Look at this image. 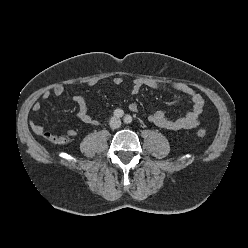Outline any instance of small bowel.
Instances as JSON below:
<instances>
[{
  "label": "small bowel",
  "mask_w": 248,
  "mask_h": 248,
  "mask_svg": "<svg viewBox=\"0 0 248 248\" xmlns=\"http://www.w3.org/2000/svg\"><path fill=\"white\" fill-rule=\"evenodd\" d=\"M113 82L115 85H121L124 82V79L123 77L118 76L114 78ZM95 84L96 81H90L88 83L89 86H94ZM145 87L150 89H160L162 87V84L153 79L136 78L132 81L131 94L137 95ZM168 87L176 92L183 93L189 96L192 102L191 110L185 116L177 119H170L165 115L163 111L158 110L150 114L148 116V120L160 128L172 130V131L193 129L197 127L200 124V116L202 114L204 107V99L202 95L191 86L181 82H171L168 84ZM64 91L65 88L63 85H56L52 90L45 91L42 94L41 98L43 100H47L51 96L60 97L64 93ZM73 100L78 106L76 117L81 122L86 124H91L94 126L99 125V120L94 118L90 114L86 101L83 96L76 95L74 96ZM40 109H41V103L39 101L34 102L32 105V110L34 112H38L40 111ZM129 109L132 112H137L139 106L136 102H132L129 104ZM30 127L35 134L48 139V136L50 134L45 132L42 125H40L35 121H30ZM67 135L68 137L73 138L77 135V132L74 129H70L67 131Z\"/></svg>",
  "instance_id": "obj_1"
}]
</instances>
